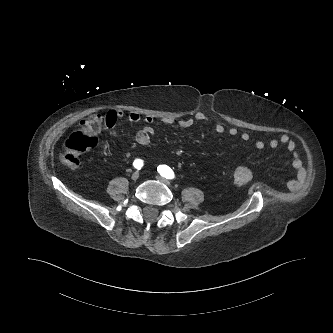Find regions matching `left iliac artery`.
<instances>
[{"mask_svg": "<svg viewBox=\"0 0 333 333\" xmlns=\"http://www.w3.org/2000/svg\"><path fill=\"white\" fill-rule=\"evenodd\" d=\"M157 171L166 179H173L175 176L173 170L167 165H159Z\"/></svg>", "mask_w": 333, "mask_h": 333, "instance_id": "44dca946", "label": "left iliac artery"}]
</instances>
